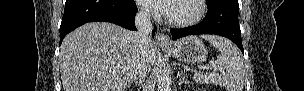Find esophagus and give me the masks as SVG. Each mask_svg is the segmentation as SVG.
Listing matches in <instances>:
<instances>
[{"mask_svg": "<svg viewBox=\"0 0 304 91\" xmlns=\"http://www.w3.org/2000/svg\"><path fill=\"white\" fill-rule=\"evenodd\" d=\"M156 41L157 44L160 46H170L171 45V40L170 37L165 34L164 32H158L156 35Z\"/></svg>", "mask_w": 304, "mask_h": 91, "instance_id": "esophagus-1", "label": "esophagus"}]
</instances>
